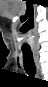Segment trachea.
<instances>
[{
    "instance_id": "1",
    "label": "trachea",
    "mask_w": 48,
    "mask_h": 87,
    "mask_svg": "<svg viewBox=\"0 0 48 87\" xmlns=\"http://www.w3.org/2000/svg\"><path fill=\"white\" fill-rule=\"evenodd\" d=\"M22 52H23V61H24L25 71L30 76H34L35 73H36V68H35V65H34L32 52L27 51V50H22Z\"/></svg>"
}]
</instances>
